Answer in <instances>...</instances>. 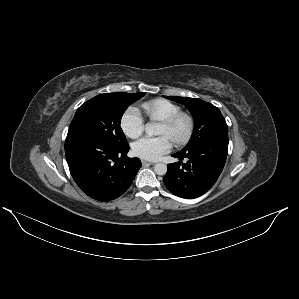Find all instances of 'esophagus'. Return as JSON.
Listing matches in <instances>:
<instances>
[{"label": "esophagus", "mask_w": 299, "mask_h": 299, "mask_svg": "<svg viewBox=\"0 0 299 299\" xmlns=\"http://www.w3.org/2000/svg\"><path fill=\"white\" fill-rule=\"evenodd\" d=\"M141 162H142V165H144V166L154 164L153 162H149V161H146V160H142Z\"/></svg>", "instance_id": "obj_1"}]
</instances>
